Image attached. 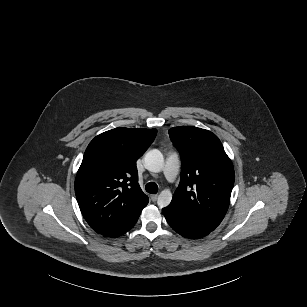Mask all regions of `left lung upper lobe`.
I'll use <instances>...</instances> for the list:
<instances>
[{
    "instance_id": "left-lung-upper-lobe-1",
    "label": "left lung upper lobe",
    "mask_w": 307,
    "mask_h": 307,
    "mask_svg": "<svg viewBox=\"0 0 307 307\" xmlns=\"http://www.w3.org/2000/svg\"><path fill=\"white\" fill-rule=\"evenodd\" d=\"M182 161L181 181L170 205L213 231L224 218L234 185V168L218 137L193 126L169 129Z\"/></svg>"
}]
</instances>
